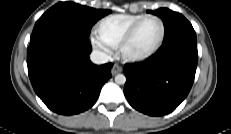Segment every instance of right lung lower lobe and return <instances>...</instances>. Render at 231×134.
I'll list each match as a JSON object with an SVG mask.
<instances>
[{"label": "right lung lower lobe", "mask_w": 231, "mask_h": 134, "mask_svg": "<svg viewBox=\"0 0 231 134\" xmlns=\"http://www.w3.org/2000/svg\"><path fill=\"white\" fill-rule=\"evenodd\" d=\"M87 36L62 25L32 33L27 50L31 84L52 111L73 115L92 107L111 77V63L94 65Z\"/></svg>", "instance_id": "right-lung-lower-lobe-1"}]
</instances>
